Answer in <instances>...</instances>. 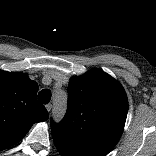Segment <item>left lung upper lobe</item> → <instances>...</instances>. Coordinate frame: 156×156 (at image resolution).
Wrapping results in <instances>:
<instances>
[{
  "label": "left lung upper lobe",
  "mask_w": 156,
  "mask_h": 156,
  "mask_svg": "<svg viewBox=\"0 0 156 156\" xmlns=\"http://www.w3.org/2000/svg\"><path fill=\"white\" fill-rule=\"evenodd\" d=\"M128 99L123 87L102 70L70 79L68 108L61 123H51L52 136L96 156L118 143L126 121Z\"/></svg>",
  "instance_id": "5c2ea615"
}]
</instances>
